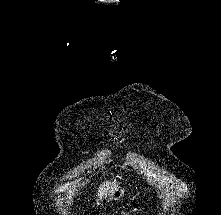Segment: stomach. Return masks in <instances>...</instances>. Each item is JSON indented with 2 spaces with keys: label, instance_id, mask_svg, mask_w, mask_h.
Returning a JSON list of instances; mask_svg holds the SVG:
<instances>
[{
  "label": "stomach",
  "instance_id": "obj_1",
  "mask_svg": "<svg viewBox=\"0 0 221 215\" xmlns=\"http://www.w3.org/2000/svg\"><path fill=\"white\" fill-rule=\"evenodd\" d=\"M125 194V190L123 188H117L116 190H114L110 195H109V200L113 201V200H120Z\"/></svg>",
  "mask_w": 221,
  "mask_h": 215
}]
</instances>
